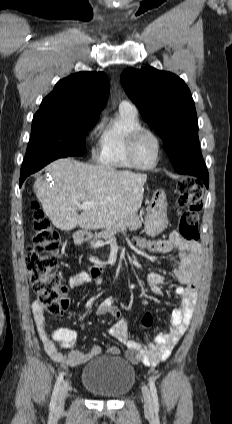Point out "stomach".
<instances>
[{"instance_id": "1", "label": "stomach", "mask_w": 232, "mask_h": 424, "mask_svg": "<svg viewBox=\"0 0 232 424\" xmlns=\"http://www.w3.org/2000/svg\"><path fill=\"white\" fill-rule=\"evenodd\" d=\"M167 223L166 197L163 193L157 194V192H155L147 210L145 232L151 237L157 236L166 228Z\"/></svg>"}]
</instances>
